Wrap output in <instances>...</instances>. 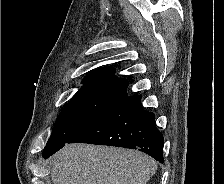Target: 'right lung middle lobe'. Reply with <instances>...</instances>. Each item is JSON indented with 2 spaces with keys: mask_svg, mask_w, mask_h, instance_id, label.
<instances>
[{
  "mask_svg": "<svg viewBox=\"0 0 224 184\" xmlns=\"http://www.w3.org/2000/svg\"><path fill=\"white\" fill-rule=\"evenodd\" d=\"M126 92V86L116 84L83 85L58 116L44 150L66 143L97 122L127 96Z\"/></svg>",
  "mask_w": 224,
  "mask_h": 184,
  "instance_id": "obj_1",
  "label": "right lung middle lobe"
}]
</instances>
